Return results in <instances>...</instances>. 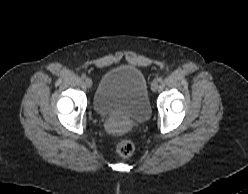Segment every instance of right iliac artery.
I'll use <instances>...</instances> for the list:
<instances>
[{
    "instance_id": "82829eb1",
    "label": "right iliac artery",
    "mask_w": 248,
    "mask_h": 194,
    "mask_svg": "<svg viewBox=\"0 0 248 194\" xmlns=\"http://www.w3.org/2000/svg\"><path fill=\"white\" fill-rule=\"evenodd\" d=\"M81 79H83V80L86 79V75H84V74L81 75Z\"/></svg>"
}]
</instances>
